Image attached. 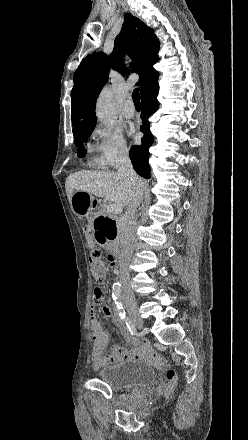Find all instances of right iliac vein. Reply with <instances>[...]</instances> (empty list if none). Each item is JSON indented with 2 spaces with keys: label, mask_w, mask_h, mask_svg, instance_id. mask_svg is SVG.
Segmentation results:
<instances>
[{
  "label": "right iliac vein",
  "mask_w": 248,
  "mask_h": 440,
  "mask_svg": "<svg viewBox=\"0 0 248 440\" xmlns=\"http://www.w3.org/2000/svg\"><path fill=\"white\" fill-rule=\"evenodd\" d=\"M125 307L128 309L129 314L133 321L138 325L142 326L144 321L140 316V313L138 311L137 301L134 296H127L124 298L123 301Z\"/></svg>",
  "instance_id": "right-iliac-vein-1"
}]
</instances>
